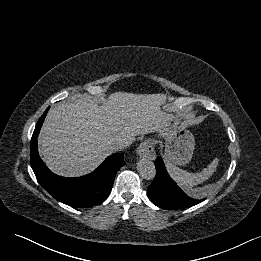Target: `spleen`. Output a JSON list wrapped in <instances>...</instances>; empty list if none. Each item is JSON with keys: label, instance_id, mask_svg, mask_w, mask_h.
I'll return each mask as SVG.
<instances>
[{"label": "spleen", "instance_id": "1", "mask_svg": "<svg viewBox=\"0 0 261 261\" xmlns=\"http://www.w3.org/2000/svg\"><path fill=\"white\" fill-rule=\"evenodd\" d=\"M219 158H215L207 168H204L201 172L193 174L185 170L180 169L172 163H167L166 168L169 175L178 183L181 187H193L197 184L203 183L210 178L213 172L218 166Z\"/></svg>", "mask_w": 261, "mask_h": 261}]
</instances>
